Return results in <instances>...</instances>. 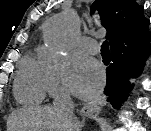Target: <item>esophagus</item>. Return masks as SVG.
<instances>
[{
    "instance_id": "obj_1",
    "label": "esophagus",
    "mask_w": 151,
    "mask_h": 131,
    "mask_svg": "<svg viewBox=\"0 0 151 131\" xmlns=\"http://www.w3.org/2000/svg\"><path fill=\"white\" fill-rule=\"evenodd\" d=\"M106 104V98L104 95L99 96L85 104L82 109L80 110V115L88 117L91 116L93 113L100 110Z\"/></svg>"
}]
</instances>
